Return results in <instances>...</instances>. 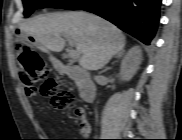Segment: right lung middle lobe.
Returning <instances> with one entry per match:
<instances>
[{
	"label": "right lung middle lobe",
	"instance_id": "dd1d6c3e",
	"mask_svg": "<svg viewBox=\"0 0 182 140\" xmlns=\"http://www.w3.org/2000/svg\"><path fill=\"white\" fill-rule=\"evenodd\" d=\"M94 0H23L24 16L28 17L35 9L44 7L62 8L69 10L82 9Z\"/></svg>",
	"mask_w": 182,
	"mask_h": 140
}]
</instances>
